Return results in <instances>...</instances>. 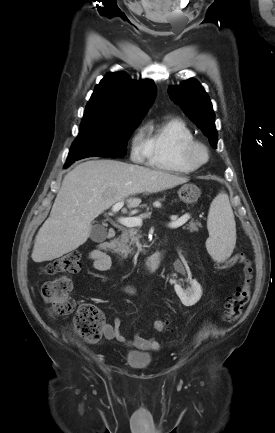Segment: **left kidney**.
Segmentation results:
<instances>
[{"label": "left kidney", "instance_id": "1", "mask_svg": "<svg viewBox=\"0 0 275 433\" xmlns=\"http://www.w3.org/2000/svg\"><path fill=\"white\" fill-rule=\"evenodd\" d=\"M191 288L184 290L179 284L175 283L174 289L181 302L185 306L196 304L202 296V288L196 280H190Z\"/></svg>", "mask_w": 275, "mask_h": 433}]
</instances>
